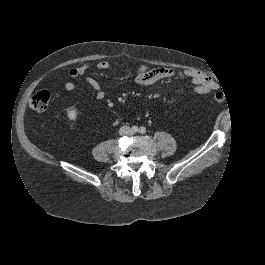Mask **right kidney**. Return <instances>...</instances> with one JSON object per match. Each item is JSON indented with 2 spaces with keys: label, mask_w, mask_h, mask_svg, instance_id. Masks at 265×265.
Segmentation results:
<instances>
[{
  "label": "right kidney",
  "mask_w": 265,
  "mask_h": 265,
  "mask_svg": "<svg viewBox=\"0 0 265 265\" xmlns=\"http://www.w3.org/2000/svg\"><path fill=\"white\" fill-rule=\"evenodd\" d=\"M78 109L70 107L66 110V117L70 123L76 122L78 118Z\"/></svg>",
  "instance_id": "obj_1"
}]
</instances>
